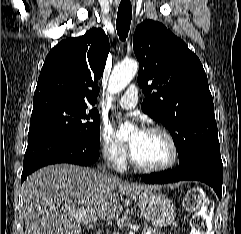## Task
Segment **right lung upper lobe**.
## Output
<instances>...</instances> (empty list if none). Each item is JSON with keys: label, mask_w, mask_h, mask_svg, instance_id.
<instances>
[{"label": "right lung upper lobe", "mask_w": 241, "mask_h": 234, "mask_svg": "<svg viewBox=\"0 0 241 234\" xmlns=\"http://www.w3.org/2000/svg\"><path fill=\"white\" fill-rule=\"evenodd\" d=\"M109 50L108 37L100 28L58 43L44 61L33 106L51 102L94 104Z\"/></svg>", "instance_id": "cb5924a9"}]
</instances>
